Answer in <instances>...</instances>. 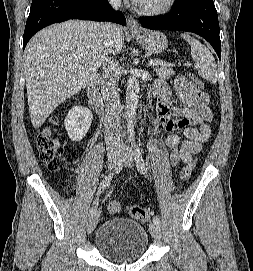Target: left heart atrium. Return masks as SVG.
<instances>
[{"label": "left heart atrium", "mask_w": 253, "mask_h": 271, "mask_svg": "<svg viewBox=\"0 0 253 271\" xmlns=\"http://www.w3.org/2000/svg\"><path fill=\"white\" fill-rule=\"evenodd\" d=\"M143 0H132V2L136 5H139L142 3Z\"/></svg>", "instance_id": "39dd6f15"}]
</instances>
